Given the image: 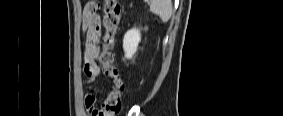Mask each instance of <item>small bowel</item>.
I'll return each mask as SVG.
<instances>
[{"label":"small bowel","instance_id":"c3829d8e","mask_svg":"<svg viewBox=\"0 0 283 116\" xmlns=\"http://www.w3.org/2000/svg\"><path fill=\"white\" fill-rule=\"evenodd\" d=\"M95 10L96 3L92 2L88 4L83 11V30L86 32L84 72L90 83L95 82L100 74V67L98 64V45L101 35V23ZM96 102L97 98L95 93H87L84 104L89 113L97 111ZM94 116H102V113L97 111Z\"/></svg>","mask_w":283,"mask_h":116}]
</instances>
